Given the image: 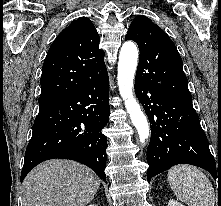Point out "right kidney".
Wrapping results in <instances>:
<instances>
[{"instance_id":"obj_1","label":"right kidney","mask_w":221,"mask_h":206,"mask_svg":"<svg viewBox=\"0 0 221 206\" xmlns=\"http://www.w3.org/2000/svg\"><path fill=\"white\" fill-rule=\"evenodd\" d=\"M88 206H98V205H96V204H90V205H88Z\"/></svg>"}]
</instances>
